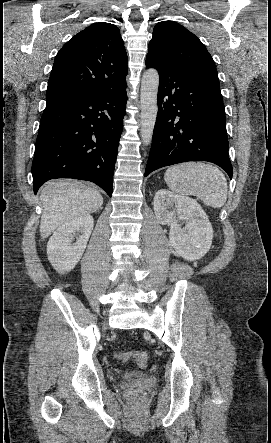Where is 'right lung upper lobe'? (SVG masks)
Wrapping results in <instances>:
<instances>
[{
	"label": "right lung upper lobe",
	"mask_w": 271,
	"mask_h": 443,
	"mask_svg": "<svg viewBox=\"0 0 271 443\" xmlns=\"http://www.w3.org/2000/svg\"><path fill=\"white\" fill-rule=\"evenodd\" d=\"M127 54L117 26L96 23L58 52L48 81L46 103L126 84Z\"/></svg>",
	"instance_id": "right-lung-upper-lobe-1"
}]
</instances>
